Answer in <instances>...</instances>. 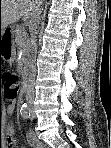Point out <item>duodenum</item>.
I'll return each instance as SVG.
<instances>
[{"mask_svg":"<svg viewBox=\"0 0 111 148\" xmlns=\"http://www.w3.org/2000/svg\"><path fill=\"white\" fill-rule=\"evenodd\" d=\"M23 86H24L25 89H26V87L28 86V77H27V76L24 77Z\"/></svg>","mask_w":111,"mask_h":148,"instance_id":"410a0bca","label":"duodenum"}]
</instances>
